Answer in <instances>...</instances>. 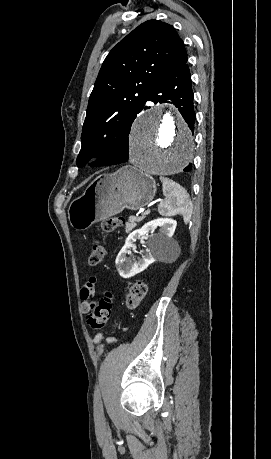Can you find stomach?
<instances>
[{
  "label": "stomach",
  "mask_w": 271,
  "mask_h": 459,
  "mask_svg": "<svg viewBox=\"0 0 271 459\" xmlns=\"http://www.w3.org/2000/svg\"><path fill=\"white\" fill-rule=\"evenodd\" d=\"M156 190L152 176L134 166H123L115 174L98 176L83 196L71 202L69 222L72 228L83 231L95 222L120 214L124 208H144L154 200Z\"/></svg>",
  "instance_id": "1"
}]
</instances>
